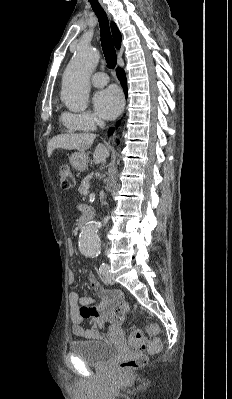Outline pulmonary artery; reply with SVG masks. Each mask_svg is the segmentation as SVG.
Returning a JSON list of instances; mask_svg holds the SVG:
<instances>
[{
    "instance_id": "obj_1",
    "label": "pulmonary artery",
    "mask_w": 232,
    "mask_h": 399,
    "mask_svg": "<svg viewBox=\"0 0 232 399\" xmlns=\"http://www.w3.org/2000/svg\"><path fill=\"white\" fill-rule=\"evenodd\" d=\"M93 84H94L93 90H100L102 88L101 84H108V77L106 73H103L101 69H98L96 71L95 77H93Z\"/></svg>"
}]
</instances>
